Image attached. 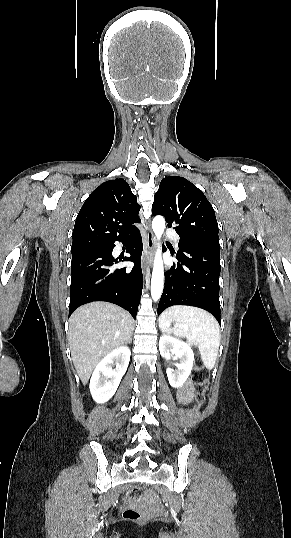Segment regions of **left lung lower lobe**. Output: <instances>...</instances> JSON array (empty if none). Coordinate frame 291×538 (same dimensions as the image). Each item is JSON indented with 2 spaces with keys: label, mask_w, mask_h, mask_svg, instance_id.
Here are the masks:
<instances>
[{
  "label": "left lung lower lobe",
  "mask_w": 291,
  "mask_h": 538,
  "mask_svg": "<svg viewBox=\"0 0 291 538\" xmlns=\"http://www.w3.org/2000/svg\"><path fill=\"white\" fill-rule=\"evenodd\" d=\"M176 255L179 263L165 273L158 315L173 305H189L209 311L220 323V247L185 245Z\"/></svg>",
  "instance_id": "obj_1"
}]
</instances>
